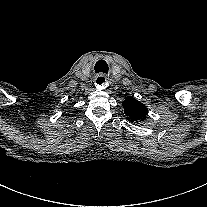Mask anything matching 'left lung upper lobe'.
<instances>
[{
  "label": "left lung upper lobe",
  "mask_w": 207,
  "mask_h": 207,
  "mask_svg": "<svg viewBox=\"0 0 207 207\" xmlns=\"http://www.w3.org/2000/svg\"><path fill=\"white\" fill-rule=\"evenodd\" d=\"M122 105L127 119L131 122L138 123L139 121H143L146 118V115L148 113L147 107L135 98H126L122 102Z\"/></svg>",
  "instance_id": "5c2ea615"
}]
</instances>
